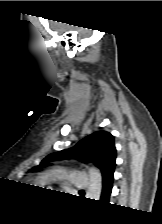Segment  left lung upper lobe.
<instances>
[{"label": "left lung upper lobe", "instance_id": "5c2ea615", "mask_svg": "<svg viewBox=\"0 0 162 224\" xmlns=\"http://www.w3.org/2000/svg\"><path fill=\"white\" fill-rule=\"evenodd\" d=\"M114 137L106 131H97L79 141L74 147L48 155L34 169L44 168L47 162L62 159H78L84 163L95 164L103 179L114 171L116 165Z\"/></svg>", "mask_w": 162, "mask_h": 224}]
</instances>
